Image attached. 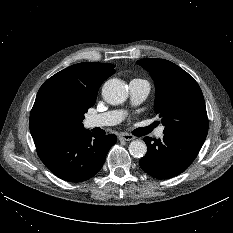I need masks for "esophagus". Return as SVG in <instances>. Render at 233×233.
Wrapping results in <instances>:
<instances>
[{
    "mask_svg": "<svg viewBox=\"0 0 233 233\" xmlns=\"http://www.w3.org/2000/svg\"><path fill=\"white\" fill-rule=\"evenodd\" d=\"M135 137L133 135H130V134H121L119 135V140L121 141H131V140H134Z\"/></svg>",
    "mask_w": 233,
    "mask_h": 233,
    "instance_id": "obj_1",
    "label": "esophagus"
}]
</instances>
